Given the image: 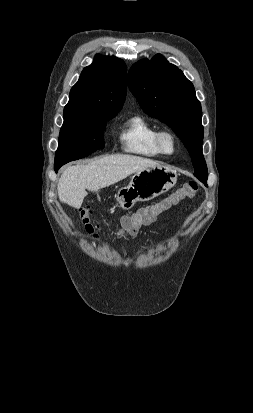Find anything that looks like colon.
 Here are the masks:
<instances>
[{
  "label": "colon",
  "mask_w": 253,
  "mask_h": 413,
  "mask_svg": "<svg viewBox=\"0 0 253 413\" xmlns=\"http://www.w3.org/2000/svg\"><path fill=\"white\" fill-rule=\"evenodd\" d=\"M197 190L198 185L196 182L187 181L169 196L161 199L160 201L141 207L134 213L124 215L121 219V228L118 230L117 234L121 237L135 235L141 226L152 223L160 214L169 210L179 201L195 197ZM79 215L86 232L93 238L99 239L101 236V230L99 225L94 220L91 210L87 207L81 208Z\"/></svg>",
  "instance_id": "1"
}]
</instances>
